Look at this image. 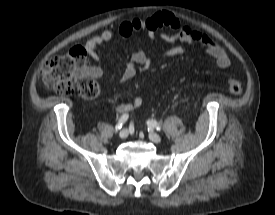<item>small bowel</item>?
I'll use <instances>...</instances> for the list:
<instances>
[{
	"label": "small bowel",
	"mask_w": 275,
	"mask_h": 215,
	"mask_svg": "<svg viewBox=\"0 0 275 215\" xmlns=\"http://www.w3.org/2000/svg\"><path fill=\"white\" fill-rule=\"evenodd\" d=\"M138 32H146L153 40H155L158 33H161L164 37L176 35L183 42L197 44L204 48L206 52L215 59L218 67L226 69L231 64L228 54L213 39L190 25L181 24L179 19L169 12L156 13L146 19L133 18L131 20H125L118 26L119 35L125 38ZM112 39L113 33L110 30H104L99 35L89 39L85 44L89 56L98 60V47L110 42ZM151 63V59L145 52H135L132 54L130 62L126 64L119 79L121 81H127L139 72L149 69ZM89 72L96 78L104 76L102 68L97 66L90 68ZM142 103V99L136 97L130 102L119 104L116 107V111L119 114H126L133 109L139 108Z\"/></svg>",
	"instance_id": "small-bowel-1"
}]
</instances>
